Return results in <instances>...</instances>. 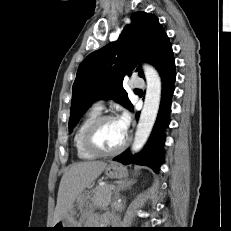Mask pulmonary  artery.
<instances>
[{"mask_svg":"<svg viewBox=\"0 0 231 231\" xmlns=\"http://www.w3.org/2000/svg\"><path fill=\"white\" fill-rule=\"evenodd\" d=\"M131 86L133 88H142L144 86V80L142 78L136 77L132 80ZM92 108L101 112L104 109L103 101L99 100L95 102Z\"/></svg>","mask_w":231,"mask_h":231,"instance_id":"pulmonary-artery-1","label":"pulmonary artery"}]
</instances>
